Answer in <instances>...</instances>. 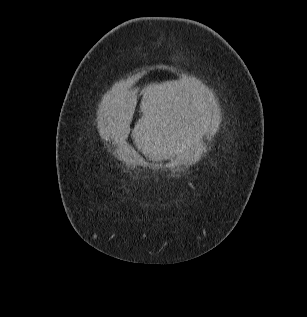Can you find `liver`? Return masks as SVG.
<instances>
[{
	"mask_svg": "<svg viewBox=\"0 0 307 317\" xmlns=\"http://www.w3.org/2000/svg\"><path fill=\"white\" fill-rule=\"evenodd\" d=\"M109 94L101 103L107 127L118 141L127 139L137 105L136 94ZM141 118L132 130L138 154L168 159L192 148L207 132L209 105L192 83L166 81L150 83L141 90ZM201 148V143H196Z\"/></svg>",
	"mask_w": 307,
	"mask_h": 317,
	"instance_id": "6515ba94",
	"label": "liver"
}]
</instances>
